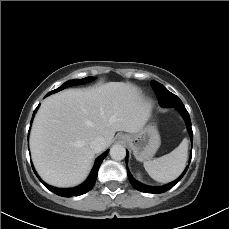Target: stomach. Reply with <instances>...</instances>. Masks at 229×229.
<instances>
[{
	"mask_svg": "<svg viewBox=\"0 0 229 229\" xmlns=\"http://www.w3.org/2000/svg\"><path fill=\"white\" fill-rule=\"evenodd\" d=\"M123 138L138 161L151 159L161 144L158 129L154 124L144 126L137 133L126 134Z\"/></svg>",
	"mask_w": 229,
	"mask_h": 229,
	"instance_id": "obj_1",
	"label": "stomach"
}]
</instances>
